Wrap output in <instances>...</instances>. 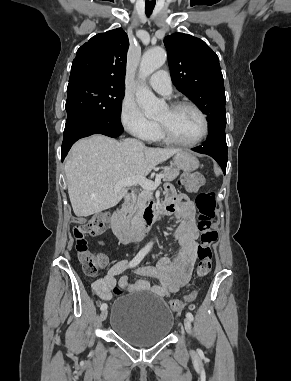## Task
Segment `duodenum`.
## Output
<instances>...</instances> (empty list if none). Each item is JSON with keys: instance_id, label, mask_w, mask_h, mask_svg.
<instances>
[{"instance_id": "obj_1", "label": "duodenum", "mask_w": 291, "mask_h": 381, "mask_svg": "<svg viewBox=\"0 0 291 381\" xmlns=\"http://www.w3.org/2000/svg\"><path fill=\"white\" fill-rule=\"evenodd\" d=\"M131 201L132 196L127 194L123 205L113 212L111 218L112 230L122 243L143 240L154 222L165 212L164 204L159 202L150 203L146 207L141 220L137 224L131 225L125 219V211Z\"/></svg>"}]
</instances>
